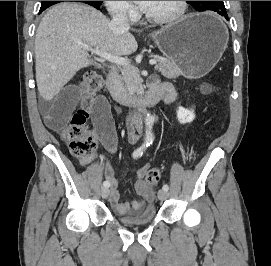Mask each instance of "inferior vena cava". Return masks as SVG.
Instances as JSON below:
<instances>
[{
    "instance_id": "obj_1",
    "label": "inferior vena cava",
    "mask_w": 271,
    "mask_h": 266,
    "mask_svg": "<svg viewBox=\"0 0 271 266\" xmlns=\"http://www.w3.org/2000/svg\"><path fill=\"white\" fill-rule=\"evenodd\" d=\"M110 26L113 32L117 35L128 32L130 24L125 9L118 8L114 10Z\"/></svg>"
}]
</instances>
